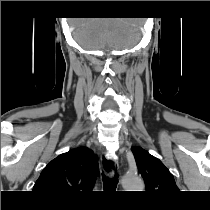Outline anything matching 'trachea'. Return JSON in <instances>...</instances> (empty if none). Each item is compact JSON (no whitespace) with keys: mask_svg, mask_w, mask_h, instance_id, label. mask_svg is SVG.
I'll return each mask as SVG.
<instances>
[{"mask_svg":"<svg viewBox=\"0 0 210 210\" xmlns=\"http://www.w3.org/2000/svg\"><path fill=\"white\" fill-rule=\"evenodd\" d=\"M102 179H103L104 188H106V187H116V185L118 184L117 174H115L114 178H107L106 175H104Z\"/></svg>","mask_w":210,"mask_h":210,"instance_id":"obj_1","label":"trachea"}]
</instances>
